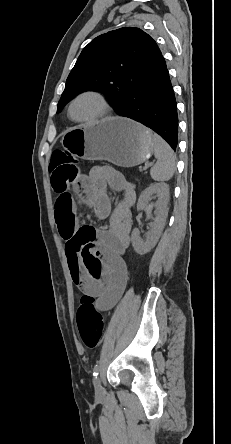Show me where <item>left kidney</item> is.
Here are the masks:
<instances>
[{
  "instance_id": "1",
  "label": "left kidney",
  "mask_w": 231,
  "mask_h": 444,
  "mask_svg": "<svg viewBox=\"0 0 231 444\" xmlns=\"http://www.w3.org/2000/svg\"><path fill=\"white\" fill-rule=\"evenodd\" d=\"M153 195H156L158 199L155 204V218L150 224L151 229L146 235V240H142L140 238V232L137 228H135L131 234V241L134 250L140 255L148 253L156 245L165 226L166 217L168 214L169 185L166 183L151 184L142 191L138 200L137 209H145L147 213L150 214L152 206L148 203Z\"/></svg>"
}]
</instances>
